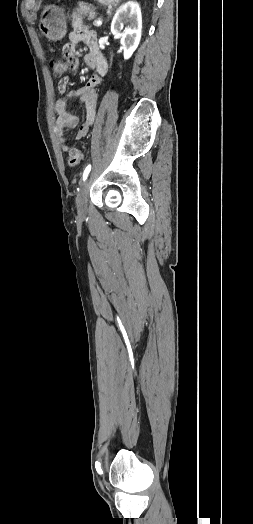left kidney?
<instances>
[{
	"mask_svg": "<svg viewBox=\"0 0 253 524\" xmlns=\"http://www.w3.org/2000/svg\"><path fill=\"white\" fill-rule=\"evenodd\" d=\"M123 24H128L124 32H120ZM142 16L137 2L128 1L116 11L112 23L111 32L121 39L124 51V59H129L137 49L141 40Z\"/></svg>",
	"mask_w": 253,
	"mask_h": 524,
	"instance_id": "left-kidney-1",
	"label": "left kidney"
}]
</instances>
